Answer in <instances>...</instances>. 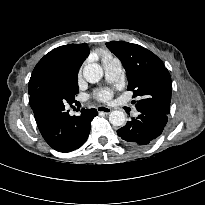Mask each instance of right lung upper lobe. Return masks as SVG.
I'll return each instance as SVG.
<instances>
[{
  "label": "right lung upper lobe",
  "mask_w": 205,
  "mask_h": 205,
  "mask_svg": "<svg viewBox=\"0 0 205 205\" xmlns=\"http://www.w3.org/2000/svg\"><path fill=\"white\" fill-rule=\"evenodd\" d=\"M89 54L87 44L60 46L46 54L35 66L28 86L29 94L51 81L66 82L71 75H78L83 61Z\"/></svg>",
  "instance_id": "cb5924a9"
}]
</instances>
